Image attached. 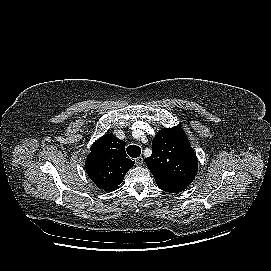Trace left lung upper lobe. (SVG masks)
I'll use <instances>...</instances> for the list:
<instances>
[{"label":"left lung upper lobe","mask_w":271,"mask_h":271,"mask_svg":"<svg viewBox=\"0 0 271 271\" xmlns=\"http://www.w3.org/2000/svg\"><path fill=\"white\" fill-rule=\"evenodd\" d=\"M152 154L146 164L159 188L177 193L188 186L198 171V160L180 126L159 130L152 141Z\"/></svg>","instance_id":"1"}]
</instances>
